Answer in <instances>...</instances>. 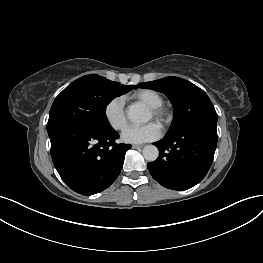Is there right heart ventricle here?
Listing matches in <instances>:
<instances>
[{"label": "right heart ventricle", "instance_id": "obj_1", "mask_svg": "<svg viewBox=\"0 0 263 263\" xmlns=\"http://www.w3.org/2000/svg\"><path fill=\"white\" fill-rule=\"evenodd\" d=\"M134 97L146 104L149 108L159 107L163 104L162 96L151 89L139 90L134 94Z\"/></svg>", "mask_w": 263, "mask_h": 263}]
</instances>
